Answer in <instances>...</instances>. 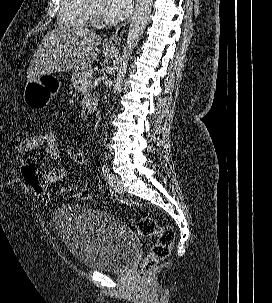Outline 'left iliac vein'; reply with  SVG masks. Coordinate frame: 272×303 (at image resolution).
<instances>
[{"label":"left iliac vein","mask_w":272,"mask_h":303,"mask_svg":"<svg viewBox=\"0 0 272 303\" xmlns=\"http://www.w3.org/2000/svg\"><path fill=\"white\" fill-rule=\"evenodd\" d=\"M108 183L109 185L117 192V193H122L123 192V187H122V182L119 179V177L113 173H109L108 177Z\"/></svg>","instance_id":"4c4485c4"}]
</instances>
